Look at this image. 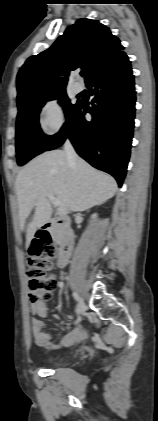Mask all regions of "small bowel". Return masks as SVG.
<instances>
[{
    "mask_svg": "<svg viewBox=\"0 0 158 421\" xmlns=\"http://www.w3.org/2000/svg\"><path fill=\"white\" fill-rule=\"evenodd\" d=\"M31 312L34 315L39 317H46L48 312V307L45 302H38L31 304ZM57 319H59L58 315H55ZM44 326L43 321L39 319H32V332L34 341L38 346L47 348V349H55V345L52 343V338L42 331ZM87 332L83 328H78L75 333L66 336L61 341V347H66L72 344L77 337L85 335Z\"/></svg>",
    "mask_w": 158,
    "mask_h": 421,
    "instance_id": "c3829d8e",
    "label": "small bowel"
}]
</instances>
